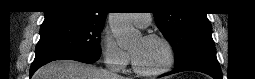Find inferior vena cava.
<instances>
[{"label":"inferior vena cava","mask_w":255,"mask_h":79,"mask_svg":"<svg viewBox=\"0 0 255 79\" xmlns=\"http://www.w3.org/2000/svg\"><path fill=\"white\" fill-rule=\"evenodd\" d=\"M107 69L110 72L111 75H115L116 74V67L113 64H107Z\"/></svg>","instance_id":"1"}]
</instances>
